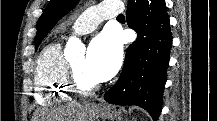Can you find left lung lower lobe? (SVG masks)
Listing matches in <instances>:
<instances>
[{"mask_svg": "<svg viewBox=\"0 0 217 121\" xmlns=\"http://www.w3.org/2000/svg\"><path fill=\"white\" fill-rule=\"evenodd\" d=\"M127 23L138 42L126 51L122 73L104 99L116 105H137L157 120L170 60L172 35L165 0H130Z\"/></svg>", "mask_w": 217, "mask_h": 121, "instance_id": "left-lung-lower-lobe-1", "label": "left lung lower lobe"}]
</instances>
